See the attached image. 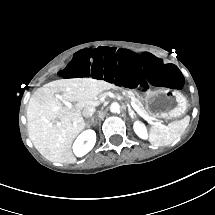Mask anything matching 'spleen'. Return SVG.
<instances>
[{
  "label": "spleen",
  "instance_id": "3e777b00",
  "mask_svg": "<svg viewBox=\"0 0 215 215\" xmlns=\"http://www.w3.org/2000/svg\"><path fill=\"white\" fill-rule=\"evenodd\" d=\"M189 121L186 116L183 120L175 121L168 126H152L149 131V141L154 146H166L171 144L181 135L184 128V122Z\"/></svg>",
  "mask_w": 215,
  "mask_h": 215
}]
</instances>
